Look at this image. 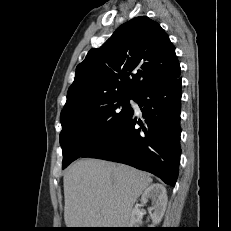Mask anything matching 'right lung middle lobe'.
<instances>
[{
  "label": "right lung middle lobe",
  "instance_id": "right-lung-middle-lobe-1",
  "mask_svg": "<svg viewBox=\"0 0 231 231\" xmlns=\"http://www.w3.org/2000/svg\"><path fill=\"white\" fill-rule=\"evenodd\" d=\"M133 96L115 98L100 105L60 116L62 169L109 139L130 118Z\"/></svg>",
  "mask_w": 231,
  "mask_h": 231
}]
</instances>
